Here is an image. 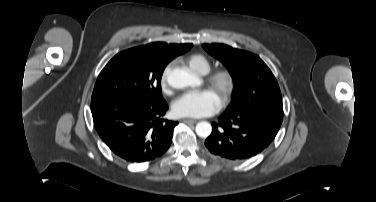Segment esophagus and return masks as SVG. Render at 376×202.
<instances>
[{
  "instance_id": "esophagus-1",
  "label": "esophagus",
  "mask_w": 376,
  "mask_h": 202,
  "mask_svg": "<svg viewBox=\"0 0 376 202\" xmlns=\"http://www.w3.org/2000/svg\"><path fill=\"white\" fill-rule=\"evenodd\" d=\"M182 122H183V123H187V124H194V123H196V120H192V119H183Z\"/></svg>"
}]
</instances>
